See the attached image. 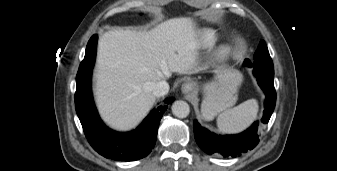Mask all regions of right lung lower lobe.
Returning a JSON list of instances; mask_svg holds the SVG:
<instances>
[{"mask_svg": "<svg viewBox=\"0 0 337 171\" xmlns=\"http://www.w3.org/2000/svg\"><path fill=\"white\" fill-rule=\"evenodd\" d=\"M97 35H93L80 64L75 93L76 112L84 133L95 151L106 158L118 161H135L147 156L153 149L158 126L167 105L154 109L143 123L129 133L115 132L100 120L91 94V73L95 61ZM173 99H168L167 104Z\"/></svg>", "mask_w": 337, "mask_h": 171, "instance_id": "right-lung-lower-lobe-1", "label": "right lung lower lobe"}]
</instances>
